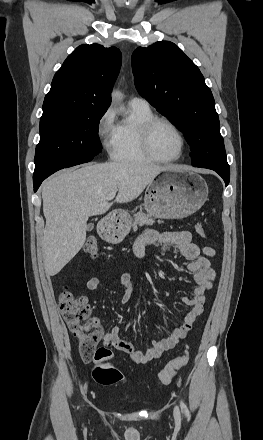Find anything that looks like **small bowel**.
<instances>
[{
    "label": "small bowel",
    "instance_id": "c3829d8e",
    "mask_svg": "<svg viewBox=\"0 0 263 440\" xmlns=\"http://www.w3.org/2000/svg\"><path fill=\"white\" fill-rule=\"evenodd\" d=\"M160 244L163 250L173 249L179 254L190 260L186 266L189 272L194 274L196 286L189 298L183 297L182 301L190 307L185 315L183 323L175 328L172 333L163 339H152L150 346L145 351H138L132 343L120 338L119 327L115 326L107 330L99 318H93L92 324L98 333L101 342L108 347L127 354L133 363L145 365L160 355L176 346L191 330L194 321L203 311L205 294L211 289L215 279V271L211 266L209 258L215 255V250L209 246H200L192 242V236L187 231H167L157 230L144 231L135 241L133 252L137 258H143L147 246ZM117 283L123 288L121 302H127L134 292L131 277L127 273H122L117 277ZM101 284V277H90L86 282V287L90 291L97 290Z\"/></svg>",
    "mask_w": 263,
    "mask_h": 440
}]
</instances>
